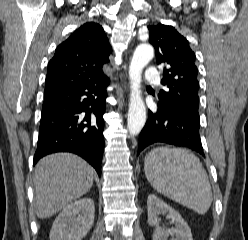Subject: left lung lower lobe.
<instances>
[{
	"instance_id": "left-lung-lower-lobe-1",
	"label": "left lung lower lobe",
	"mask_w": 248,
	"mask_h": 240,
	"mask_svg": "<svg viewBox=\"0 0 248 240\" xmlns=\"http://www.w3.org/2000/svg\"><path fill=\"white\" fill-rule=\"evenodd\" d=\"M199 129L200 117L197 109H175L158 103L157 112H149L148 120L140 133L137 154L149 145L165 143L189 148L204 156Z\"/></svg>"
}]
</instances>
